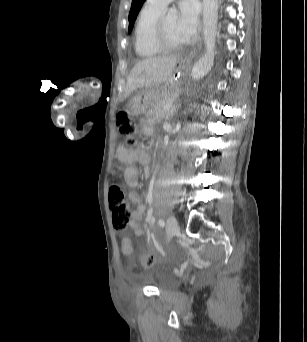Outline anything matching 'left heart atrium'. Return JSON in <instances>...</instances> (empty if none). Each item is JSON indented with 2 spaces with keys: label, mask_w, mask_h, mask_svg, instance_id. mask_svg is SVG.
<instances>
[{
  "label": "left heart atrium",
  "mask_w": 307,
  "mask_h": 342,
  "mask_svg": "<svg viewBox=\"0 0 307 342\" xmlns=\"http://www.w3.org/2000/svg\"><path fill=\"white\" fill-rule=\"evenodd\" d=\"M199 29L198 7L193 3L184 5L175 25L176 36L183 44L189 43L197 36Z\"/></svg>",
  "instance_id": "1"
}]
</instances>
